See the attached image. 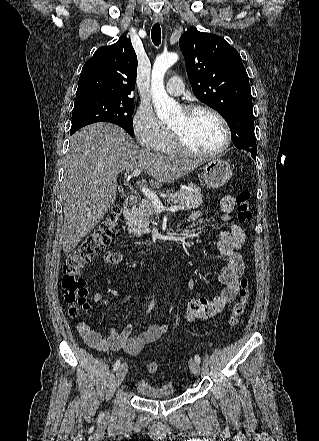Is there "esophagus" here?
<instances>
[{
	"label": "esophagus",
	"instance_id": "obj_1",
	"mask_svg": "<svg viewBox=\"0 0 319 441\" xmlns=\"http://www.w3.org/2000/svg\"><path fill=\"white\" fill-rule=\"evenodd\" d=\"M153 20H154L155 23H163V17L159 13H154L153 14Z\"/></svg>",
	"mask_w": 319,
	"mask_h": 441
}]
</instances>
